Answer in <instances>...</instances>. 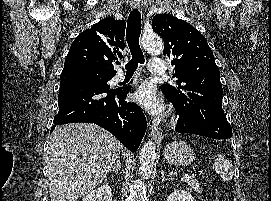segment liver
Instances as JSON below:
<instances>
[{
  "mask_svg": "<svg viewBox=\"0 0 271 201\" xmlns=\"http://www.w3.org/2000/svg\"><path fill=\"white\" fill-rule=\"evenodd\" d=\"M122 145L103 128L88 123L57 126L48 148L51 201H76L102 183Z\"/></svg>",
  "mask_w": 271,
  "mask_h": 201,
  "instance_id": "liver-1",
  "label": "liver"
}]
</instances>
